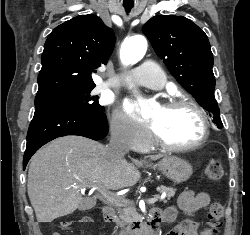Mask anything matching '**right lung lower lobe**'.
Returning a JSON list of instances; mask_svg holds the SVG:
<instances>
[{"label": "right lung lower lobe", "mask_w": 250, "mask_h": 235, "mask_svg": "<svg viewBox=\"0 0 250 235\" xmlns=\"http://www.w3.org/2000/svg\"><path fill=\"white\" fill-rule=\"evenodd\" d=\"M107 132L108 124L103 112L91 113L68 106L37 105L28 129L23 169L41 146L55 138L79 135L100 140Z\"/></svg>", "instance_id": "right-lung-lower-lobe-1"}]
</instances>
